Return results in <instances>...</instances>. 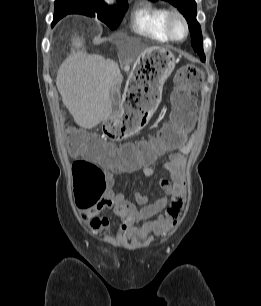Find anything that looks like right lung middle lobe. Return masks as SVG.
<instances>
[{"label":"right lung middle lobe","instance_id":"dd1d6c3e","mask_svg":"<svg viewBox=\"0 0 261 306\" xmlns=\"http://www.w3.org/2000/svg\"><path fill=\"white\" fill-rule=\"evenodd\" d=\"M127 1H121L118 6L108 7L103 0H74L70 2L55 3L54 22L56 23L67 14H83L97 17L110 29L114 30L120 24Z\"/></svg>","mask_w":261,"mask_h":306}]
</instances>
